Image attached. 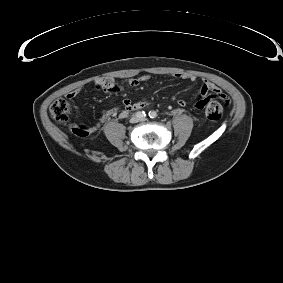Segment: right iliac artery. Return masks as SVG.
<instances>
[{"instance_id":"1","label":"right iliac artery","mask_w":283,"mask_h":283,"mask_svg":"<svg viewBox=\"0 0 283 283\" xmlns=\"http://www.w3.org/2000/svg\"><path fill=\"white\" fill-rule=\"evenodd\" d=\"M146 116L145 112L144 111H139L136 113V117L138 118H144Z\"/></svg>"}]
</instances>
